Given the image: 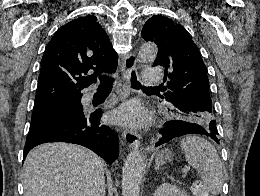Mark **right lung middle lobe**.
Returning a JSON list of instances; mask_svg holds the SVG:
<instances>
[{"instance_id":"right-lung-middle-lobe-1","label":"right lung middle lobe","mask_w":260,"mask_h":196,"mask_svg":"<svg viewBox=\"0 0 260 196\" xmlns=\"http://www.w3.org/2000/svg\"><path fill=\"white\" fill-rule=\"evenodd\" d=\"M86 115L78 98L34 106L29 133L57 124L74 122L85 118Z\"/></svg>"}]
</instances>
